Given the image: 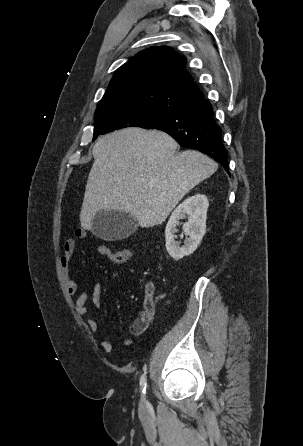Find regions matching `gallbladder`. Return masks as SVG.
Listing matches in <instances>:
<instances>
[{
	"instance_id": "1",
	"label": "gallbladder",
	"mask_w": 303,
	"mask_h": 446,
	"mask_svg": "<svg viewBox=\"0 0 303 446\" xmlns=\"http://www.w3.org/2000/svg\"><path fill=\"white\" fill-rule=\"evenodd\" d=\"M136 219L123 212L99 211L92 220V233L105 240L124 239L137 229Z\"/></svg>"
}]
</instances>
